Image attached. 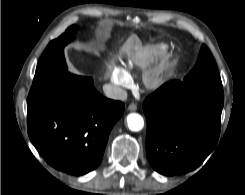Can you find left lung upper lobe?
<instances>
[{"mask_svg":"<svg viewBox=\"0 0 245 195\" xmlns=\"http://www.w3.org/2000/svg\"><path fill=\"white\" fill-rule=\"evenodd\" d=\"M186 82L222 89V82L216 63L206 45H202L198 61L186 77Z\"/></svg>","mask_w":245,"mask_h":195,"instance_id":"obj_1","label":"left lung upper lobe"}]
</instances>
